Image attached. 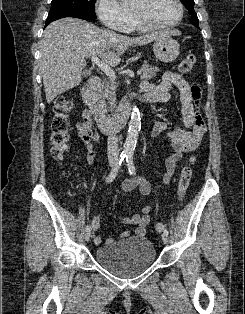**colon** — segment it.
Listing matches in <instances>:
<instances>
[{
  "mask_svg": "<svg viewBox=\"0 0 245 314\" xmlns=\"http://www.w3.org/2000/svg\"><path fill=\"white\" fill-rule=\"evenodd\" d=\"M196 56L193 54L187 55L179 63V71L182 73H189L194 65L196 64ZM72 108V103L70 99L66 96H58L54 103L53 117L51 120V132H50V153L55 160L61 161L64 159L69 151V137H68V127L69 120L68 114ZM195 162V158L192 157L189 164L183 167L180 175L179 185H178V199L182 200L189 187L193 168L192 165ZM165 223H157L155 225V230L161 233L166 228Z\"/></svg>",
  "mask_w": 245,
  "mask_h": 314,
  "instance_id": "5ec220e1",
  "label": "colon"
}]
</instances>
